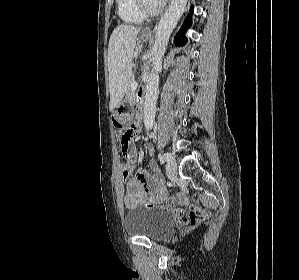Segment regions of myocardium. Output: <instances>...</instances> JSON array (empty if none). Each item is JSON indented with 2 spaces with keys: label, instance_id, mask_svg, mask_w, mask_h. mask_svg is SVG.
<instances>
[{
  "label": "myocardium",
  "instance_id": "myocardium-1",
  "mask_svg": "<svg viewBox=\"0 0 299 280\" xmlns=\"http://www.w3.org/2000/svg\"><path fill=\"white\" fill-rule=\"evenodd\" d=\"M136 5L138 10L145 16V17H152L158 15L163 8L162 4H159L155 8H150L147 6L145 0H136Z\"/></svg>",
  "mask_w": 299,
  "mask_h": 280
}]
</instances>
